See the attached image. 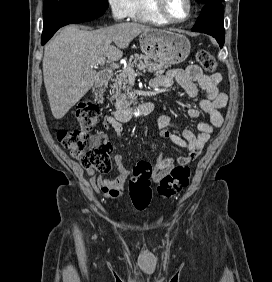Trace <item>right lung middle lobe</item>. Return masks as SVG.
I'll return each instance as SVG.
<instances>
[{
    "mask_svg": "<svg viewBox=\"0 0 272 282\" xmlns=\"http://www.w3.org/2000/svg\"><path fill=\"white\" fill-rule=\"evenodd\" d=\"M98 8L106 10L108 0H44L43 17L74 9Z\"/></svg>",
    "mask_w": 272,
    "mask_h": 282,
    "instance_id": "1",
    "label": "right lung middle lobe"
}]
</instances>
